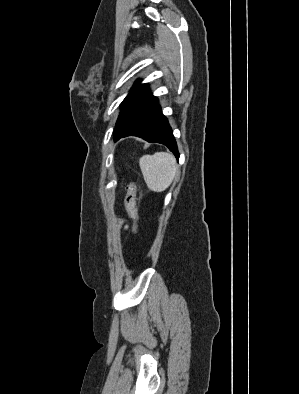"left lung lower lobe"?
<instances>
[{
	"label": "left lung lower lobe",
	"mask_w": 299,
	"mask_h": 394,
	"mask_svg": "<svg viewBox=\"0 0 299 394\" xmlns=\"http://www.w3.org/2000/svg\"><path fill=\"white\" fill-rule=\"evenodd\" d=\"M138 136L148 142L166 145L179 159L176 141L158 100L146 89L131 105L114 129L115 141L126 136Z\"/></svg>",
	"instance_id": "left-lung-lower-lobe-1"
}]
</instances>
